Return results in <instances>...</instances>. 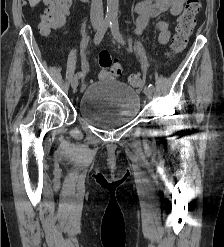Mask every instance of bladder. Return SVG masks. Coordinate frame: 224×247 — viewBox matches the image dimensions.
<instances>
[{"instance_id": "bladder-1", "label": "bladder", "mask_w": 224, "mask_h": 247, "mask_svg": "<svg viewBox=\"0 0 224 247\" xmlns=\"http://www.w3.org/2000/svg\"><path fill=\"white\" fill-rule=\"evenodd\" d=\"M140 109L138 93L112 78L90 84L82 93L77 110L88 124L112 130L133 120Z\"/></svg>"}]
</instances>
